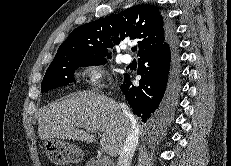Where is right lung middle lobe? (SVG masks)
<instances>
[{
	"label": "right lung middle lobe",
	"instance_id": "right-lung-middle-lobe-1",
	"mask_svg": "<svg viewBox=\"0 0 231 166\" xmlns=\"http://www.w3.org/2000/svg\"><path fill=\"white\" fill-rule=\"evenodd\" d=\"M106 62V58L100 55L72 56L54 60L45 73L41 84V92L75 82L74 73L79 67L101 65Z\"/></svg>",
	"mask_w": 231,
	"mask_h": 166
}]
</instances>
